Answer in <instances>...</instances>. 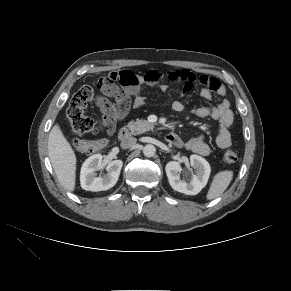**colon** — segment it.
Listing matches in <instances>:
<instances>
[{
	"label": "colon",
	"mask_w": 291,
	"mask_h": 291,
	"mask_svg": "<svg viewBox=\"0 0 291 291\" xmlns=\"http://www.w3.org/2000/svg\"><path fill=\"white\" fill-rule=\"evenodd\" d=\"M110 86L111 81L108 78H101L94 85H83L73 95L67 109V117L75 134L85 136L98 133L97 124L93 118L86 114V108L91 102H95L101 108L105 104L106 98L97 92L105 94ZM71 144L77 152L90 154L103 149L106 140L103 138L95 140L74 138ZM222 159L225 163L232 164L237 161V154L228 149L223 153Z\"/></svg>",
	"instance_id": "colon-1"
}]
</instances>
